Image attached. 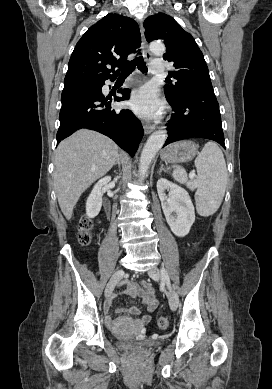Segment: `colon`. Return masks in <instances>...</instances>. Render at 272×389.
I'll list each match as a JSON object with an SVG mask.
<instances>
[{"label": "colon", "instance_id": "colon-1", "mask_svg": "<svg viewBox=\"0 0 272 389\" xmlns=\"http://www.w3.org/2000/svg\"><path fill=\"white\" fill-rule=\"evenodd\" d=\"M92 229H93L92 220L86 216L83 217L80 221L79 231H78V240L82 245H87L90 242L92 236ZM157 326L160 329H166L168 327L167 318L165 317L158 318Z\"/></svg>", "mask_w": 272, "mask_h": 389}]
</instances>
